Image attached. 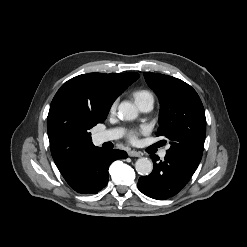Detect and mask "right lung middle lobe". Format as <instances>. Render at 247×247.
<instances>
[{
    "label": "right lung middle lobe",
    "instance_id": "dd1d6c3e",
    "mask_svg": "<svg viewBox=\"0 0 247 247\" xmlns=\"http://www.w3.org/2000/svg\"><path fill=\"white\" fill-rule=\"evenodd\" d=\"M107 114L98 116L90 111L66 105L60 107L57 123L71 138L80 142H92L90 129L97 123L104 122Z\"/></svg>",
    "mask_w": 247,
    "mask_h": 247
}]
</instances>
